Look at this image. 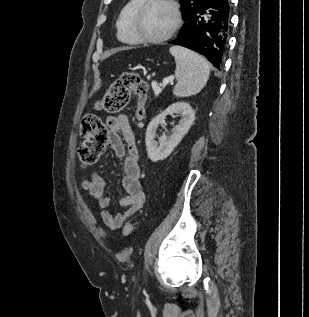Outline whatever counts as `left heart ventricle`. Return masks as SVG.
Here are the masks:
<instances>
[{
	"instance_id": "obj_1",
	"label": "left heart ventricle",
	"mask_w": 309,
	"mask_h": 317,
	"mask_svg": "<svg viewBox=\"0 0 309 317\" xmlns=\"http://www.w3.org/2000/svg\"><path fill=\"white\" fill-rule=\"evenodd\" d=\"M174 20V13L170 6L164 3H153L142 13L138 29L145 36L159 37L172 28Z\"/></svg>"
}]
</instances>
